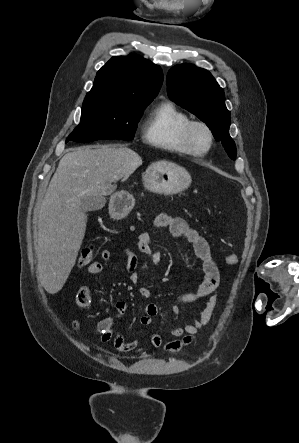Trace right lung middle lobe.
<instances>
[{"mask_svg":"<svg viewBox=\"0 0 299 443\" xmlns=\"http://www.w3.org/2000/svg\"><path fill=\"white\" fill-rule=\"evenodd\" d=\"M149 103L85 97L80 124L66 142L86 143L102 139L131 141L143 109Z\"/></svg>","mask_w":299,"mask_h":443,"instance_id":"dd1d6c3e","label":"right lung middle lobe"}]
</instances>
